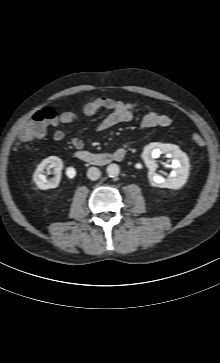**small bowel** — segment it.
I'll use <instances>...</instances> for the list:
<instances>
[{
    "label": "small bowel",
    "mask_w": 220,
    "mask_h": 363,
    "mask_svg": "<svg viewBox=\"0 0 220 363\" xmlns=\"http://www.w3.org/2000/svg\"><path fill=\"white\" fill-rule=\"evenodd\" d=\"M139 104L135 101H120L110 98H96L85 102L80 111H64L50 125L55 129L53 138L56 141L64 139L65 134L58 129L61 124H68L90 117L100 110H108L109 113L96 125L97 131L110 129L118 124L130 121L139 109ZM172 124V119L168 115L158 113L154 110H147L143 113L140 128H165ZM70 142L76 151L83 149V141L73 136Z\"/></svg>",
    "instance_id": "small-bowel-1"
}]
</instances>
